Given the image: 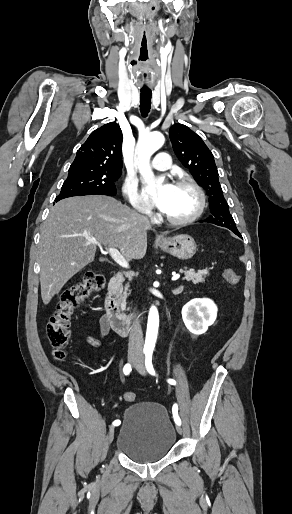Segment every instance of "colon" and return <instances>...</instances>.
Returning <instances> with one entry per match:
<instances>
[{
  "label": "colon",
  "instance_id": "obj_1",
  "mask_svg": "<svg viewBox=\"0 0 292 514\" xmlns=\"http://www.w3.org/2000/svg\"><path fill=\"white\" fill-rule=\"evenodd\" d=\"M84 278L62 292L56 305V310L47 323V339L52 347L54 358L61 361L65 358V350L68 348L71 333V320L76 309L91 294L99 291L104 286V276L94 271L92 266L86 268ZM224 275L232 287H236L240 281L239 274L230 269H224ZM124 401L134 403L136 396L127 392Z\"/></svg>",
  "mask_w": 292,
  "mask_h": 514
}]
</instances>
